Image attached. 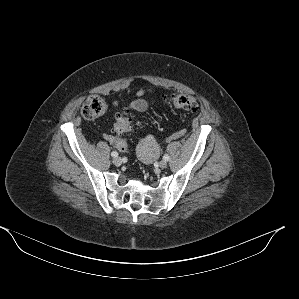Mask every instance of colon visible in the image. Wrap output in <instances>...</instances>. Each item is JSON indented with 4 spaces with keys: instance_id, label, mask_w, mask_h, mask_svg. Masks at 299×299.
Masks as SVG:
<instances>
[{
    "instance_id": "5ec220e1",
    "label": "colon",
    "mask_w": 299,
    "mask_h": 299,
    "mask_svg": "<svg viewBox=\"0 0 299 299\" xmlns=\"http://www.w3.org/2000/svg\"><path fill=\"white\" fill-rule=\"evenodd\" d=\"M169 101L177 109L197 111L200 108V101L196 97L187 94H173L169 97ZM106 109L107 104L102 97L90 95L84 101L81 113L85 119L93 120L102 116ZM133 130L134 126L131 116L127 113L120 114L113 125L118 148L126 150L127 146L123 137Z\"/></svg>"
}]
</instances>
